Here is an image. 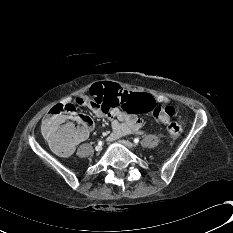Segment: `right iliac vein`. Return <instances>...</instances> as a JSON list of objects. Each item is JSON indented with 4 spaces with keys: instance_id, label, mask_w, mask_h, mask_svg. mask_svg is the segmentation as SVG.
<instances>
[{
    "instance_id": "63e3f726",
    "label": "right iliac vein",
    "mask_w": 233,
    "mask_h": 233,
    "mask_svg": "<svg viewBox=\"0 0 233 233\" xmlns=\"http://www.w3.org/2000/svg\"><path fill=\"white\" fill-rule=\"evenodd\" d=\"M95 150H96L97 152H100V151L102 150V146H101V145L96 146V147H95Z\"/></svg>"
}]
</instances>
